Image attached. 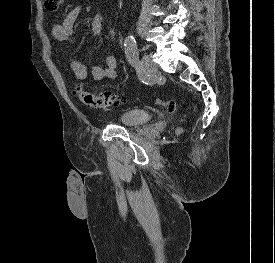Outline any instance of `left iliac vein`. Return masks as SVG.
<instances>
[{
  "label": "left iliac vein",
  "mask_w": 275,
  "mask_h": 263,
  "mask_svg": "<svg viewBox=\"0 0 275 263\" xmlns=\"http://www.w3.org/2000/svg\"><path fill=\"white\" fill-rule=\"evenodd\" d=\"M157 65L153 61L151 55L145 54L142 57L141 64H140V70L141 72L146 76H154V74L157 72Z\"/></svg>",
  "instance_id": "obj_1"
}]
</instances>
